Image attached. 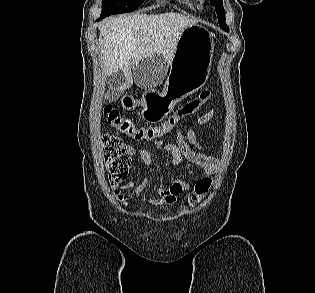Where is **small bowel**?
<instances>
[{"mask_svg": "<svg viewBox=\"0 0 315 293\" xmlns=\"http://www.w3.org/2000/svg\"><path fill=\"white\" fill-rule=\"evenodd\" d=\"M214 111H210L207 114L199 118L198 123L201 126H205L212 119ZM156 147L168 151L172 158L168 162L170 165H178L181 162L182 156H184L191 163L201 167L204 172L203 178H207L213 174L217 169V158L210 155L207 149L201 145L197 140L194 129L192 127L186 130H179L177 132V143L171 144L164 142L159 139H153L151 141ZM129 155H134L135 150L132 146L126 147ZM139 157L144 165L148 169V176L145 177L140 183L134 184L133 182H127L124 184L112 183L111 190L115 197L119 201H128L131 199L129 195L123 193L124 190L131 189L137 195H142L148 185H153L157 194L160 196L159 199L147 200L141 197V201L152 205H172L178 199H180L184 193L190 190V185L181 180H171L165 185H158L156 181L150 177L153 172L151 166L152 153L148 147H143L139 152ZM202 178V179H203Z\"/></svg>", "mask_w": 315, "mask_h": 293, "instance_id": "1", "label": "small bowel"}]
</instances>
